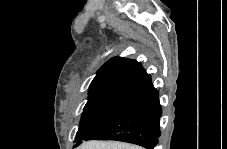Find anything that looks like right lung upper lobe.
Returning <instances> with one entry per match:
<instances>
[{"instance_id": "obj_1", "label": "right lung upper lobe", "mask_w": 227, "mask_h": 149, "mask_svg": "<svg viewBox=\"0 0 227 149\" xmlns=\"http://www.w3.org/2000/svg\"><path fill=\"white\" fill-rule=\"evenodd\" d=\"M151 77L136 60L114 57L106 62L93 79L89 93L110 87L122 86L140 89Z\"/></svg>"}]
</instances>
